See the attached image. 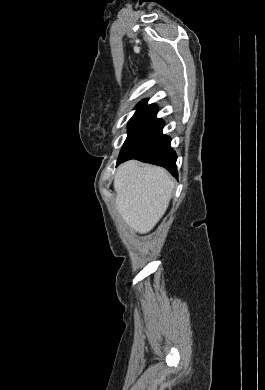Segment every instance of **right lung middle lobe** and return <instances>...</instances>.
Returning a JSON list of instances; mask_svg holds the SVG:
<instances>
[{"label":"right lung middle lobe","mask_w":265,"mask_h":390,"mask_svg":"<svg viewBox=\"0 0 265 390\" xmlns=\"http://www.w3.org/2000/svg\"><path fill=\"white\" fill-rule=\"evenodd\" d=\"M150 105H147V101L146 100H143L140 104H138L136 106L137 108V111L136 113L133 115V117L130 119L128 125L130 126L134 120L141 114L143 113Z\"/></svg>","instance_id":"obj_1"}]
</instances>
